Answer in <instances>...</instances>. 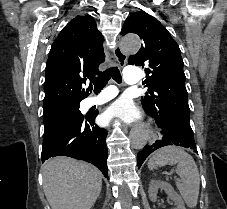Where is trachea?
I'll return each mask as SVG.
<instances>
[{"label": "trachea", "mask_w": 227, "mask_h": 209, "mask_svg": "<svg viewBox=\"0 0 227 209\" xmlns=\"http://www.w3.org/2000/svg\"><path fill=\"white\" fill-rule=\"evenodd\" d=\"M111 77L119 84L122 82V76L120 71L117 67H112L105 70L102 75H100L93 81L94 91L100 92L106 86Z\"/></svg>", "instance_id": "obj_1"}]
</instances>
